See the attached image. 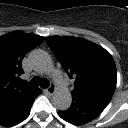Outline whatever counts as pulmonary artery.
Wrapping results in <instances>:
<instances>
[{"label": "pulmonary artery", "instance_id": "1", "mask_svg": "<svg viewBox=\"0 0 128 128\" xmlns=\"http://www.w3.org/2000/svg\"><path fill=\"white\" fill-rule=\"evenodd\" d=\"M64 82H65V81L56 80V84H57L58 86H64Z\"/></svg>", "mask_w": 128, "mask_h": 128}]
</instances>
